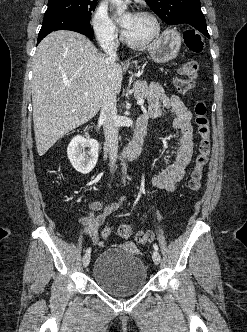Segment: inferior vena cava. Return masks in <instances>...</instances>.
<instances>
[{
  "label": "inferior vena cava",
  "instance_id": "602c4592",
  "mask_svg": "<svg viewBox=\"0 0 247 332\" xmlns=\"http://www.w3.org/2000/svg\"><path fill=\"white\" fill-rule=\"evenodd\" d=\"M101 48L110 60L117 59L114 39L107 37L101 41ZM100 120L103 123L106 146L110 158V170L114 171L118 153V124L116 112V93L108 89L103 97L101 105Z\"/></svg>",
  "mask_w": 247,
  "mask_h": 332
}]
</instances>
